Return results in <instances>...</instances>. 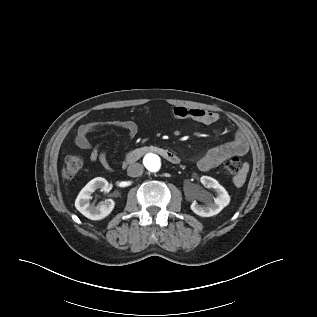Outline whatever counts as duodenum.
Instances as JSON below:
<instances>
[{
  "instance_id": "410a0bca",
  "label": "duodenum",
  "mask_w": 317,
  "mask_h": 317,
  "mask_svg": "<svg viewBox=\"0 0 317 317\" xmlns=\"http://www.w3.org/2000/svg\"><path fill=\"white\" fill-rule=\"evenodd\" d=\"M147 153L157 154L172 164H178L180 162V158L173 151L164 149L162 147L153 146V145L139 147L128 152V154L126 155L125 161L127 163H134Z\"/></svg>"
}]
</instances>
